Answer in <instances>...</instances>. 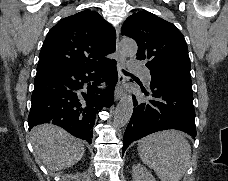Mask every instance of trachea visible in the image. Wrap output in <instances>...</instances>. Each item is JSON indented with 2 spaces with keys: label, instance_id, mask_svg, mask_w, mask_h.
Returning a JSON list of instances; mask_svg holds the SVG:
<instances>
[{
  "label": "trachea",
  "instance_id": "obj_1",
  "mask_svg": "<svg viewBox=\"0 0 228 181\" xmlns=\"http://www.w3.org/2000/svg\"><path fill=\"white\" fill-rule=\"evenodd\" d=\"M124 73L127 74V75H130V73H128V72H126V71H124Z\"/></svg>",
  "mask_w": 228,
  "mask_h": 181
}]
</instances>
